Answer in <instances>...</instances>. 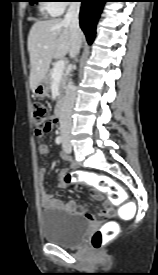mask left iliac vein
<instances>
[{
	"label": "left iliac vein",
	"instance_id": "4c4485c4",
	"mask_svg": "<svg viewBox=\"0 0 158 275\" xmlns=\"http://www.w3.org/2000/svg\"><path fill=\"white\" fill-rule=\"evenodd\" d=\"M63 151H64L66 154H70L71 151H72L71 145H70V143L68 142V140H64V142H63Z\"/></svg>",
	"mask_w": 158,
	"mask_h": 275
}]
</instances>
